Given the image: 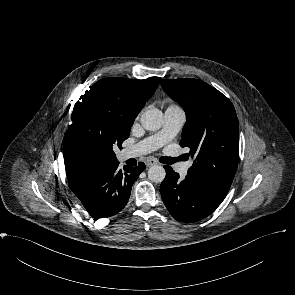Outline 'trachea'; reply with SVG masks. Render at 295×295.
I'll return each mask as SVG.
<instances>
[{"label":"trachea","mask_w":295,"mask_h":295,"mask_svg":"<svg viewBox=\"0 0 295 295\" xmlns=\"http://www.w3.org/2000/svg\"><path fill=\"white\" fill-rule=\"evenodd\" d=\"M181 157L173 158V157H162L160 158V162L164 164H173L174 162L181 161Z\"/></svg>","instance_id":"obj_1"}]
</instances>
